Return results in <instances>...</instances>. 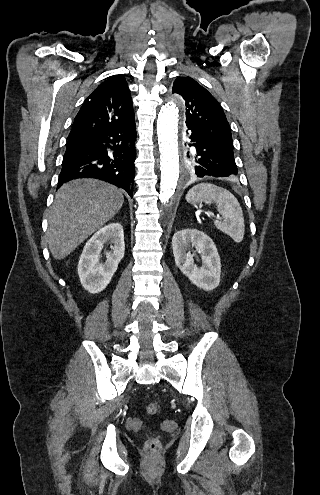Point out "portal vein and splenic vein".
<instances>
[{
	"instance_id": "18ae733b",
	"label": "portal vein and splenic vein",
	"mask_w": 320,
	"mask_h": 495,
	"mask_svg": "<svg viewBox=\"0 0 320 495\" xmlns=\"http://www.w3.org/2000/svg\"><path fill=\"white\" fill-rule=\"evenodd\" d=\"M209 217H210V218L220 219V217H219V216L215 217L212 213H210V214H209Z\"/></svg>"
}]
</instances>
